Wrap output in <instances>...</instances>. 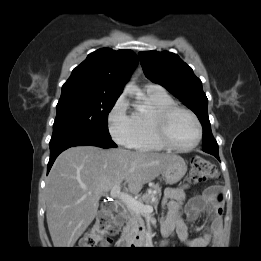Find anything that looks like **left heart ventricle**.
<instances>
[{"mask_svg":"<svg viewBox=\"0 0 261 261\" xmlns=\"http://www.w3.org/2000/svg\"><path fill=\"white\" fill-rule=\"evenodd\" d=\"M168 133L174 144L189 146L196 140L197 128L187 113L178 111L169 120Z\"/></svg>","mask_w":261,"mask_h":261,"instance_id":"b2bd125f","label":"left heart ventricle"}]
</instances>
